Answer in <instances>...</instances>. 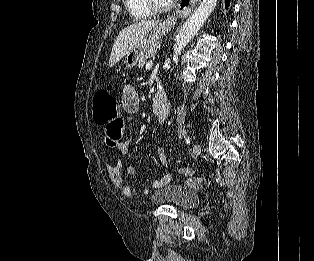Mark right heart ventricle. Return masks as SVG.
<instances>
[{
  "instance_id": "e07e8e85",
  "label": "right heart ventricle",
  "mask_w": 314,
  "mask_h": 261,
  "mask_svg": "<svg viewBox=\"0 0 314 261\" xmlns=\"http://www.w3.org/2000/svg\"><path fill=\"white\" fill-rule=\"evenodd\" d=\"M126 8L134 19H146L153 16V11L148 7L145 0H125Z\"/></svg>"
}]
</instances>
